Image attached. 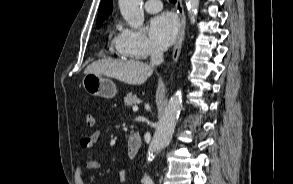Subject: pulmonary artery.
I'll return each instance as SVG.
<instances>
[{"instance_id": "obj_1", "label": "pulmonary artery", "mask_w": 293, "mask_h": 184, "mask_svg": "<svg viewBox=\"0 0 293 184\" xmlns=\"http://www.w3.org/2000/svg\"><path fill=\"white\" fill-rule=\"evenodd\" d=\"M144 8L148 13H157L162 9V3L160 0H147Z\"/></svg>"}]
</instances>
